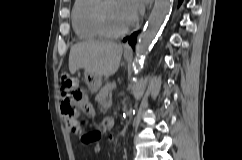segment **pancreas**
I'll use <instances>...</instances> for the list:
<instances>
[{"label": "pancreas", "mask_w": 242, "mask_h": 160, "mask_svg": "<svg viewBox=\"0 0 242 160\" xmlns=\"http://www.w3.org/2000/svg\"><path fill=\"white\" fill-rule=\"evenodd\" d=\"M116 88V83H107L101 90L100 92L96 95V101L100 105H105L107 102V97L110 94V92Z\"/></svg>", "instance_id": "cf45deb5"}]
</instances>
